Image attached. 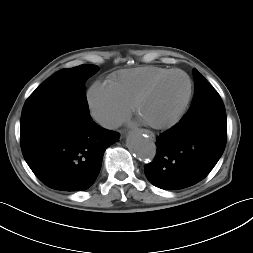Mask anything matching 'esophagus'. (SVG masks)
Segmentation results:
<instances>
[{"instance_id": "34e87169", "label": "esophagus", "mask_w": 253, "mask_h": 253, "mask_svg": "<svg viewBox=\"0 0 253 253\" xmlns=\"http://www.w3.org/2000/svg\"><path fill=\"white\" fill-rule=\"evenodd\" d=\"M140 132L146 133L149 138L154 139V134L152 132L146 130H140Z\"/></svg>"}]
</instances>
